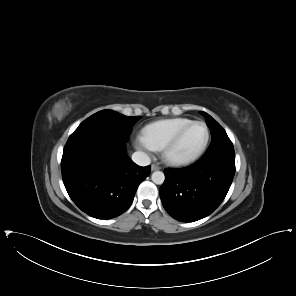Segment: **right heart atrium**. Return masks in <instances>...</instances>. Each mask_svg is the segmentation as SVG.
I'll return each instance as SVG.
<instances>
[{
  "instance_id": "1",
  "label": "right heart atrium",
  "mask_w": 296,
  "mask_h": 296,
  "mask_svg": "<svg viewBox=\"0 0 296 296\" xmlns=\"http://www.w3.org/2000/svg\"><path fill=\"white\" fill-rule=\"evenodd\" d=\"M134 145L147 153H151L153 151H155V149L153 148V146H151L149 144V142H147V140L143 137V135H139L134 139Z\"/></svg>"
}]
</instances>
